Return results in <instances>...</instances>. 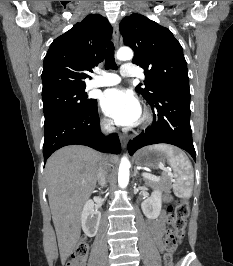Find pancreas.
<instances>
[{"mask_svg":"<svg viewBox=\"0 0 233 266\" xmlns=\"http://www.w3.org/2000/svg\"><path fill=\"white\" fill-rule=\"evenodd\" d=\"M144 180L147 184L154 185V186L165 187V186L169 185V181H157V182H155V181L149 180L147 178H145Z\"/></svg>","mask_w":233,"mask_h":266,"instance_id":"pancreas-1","label":"pancreas"}]
</instances>
